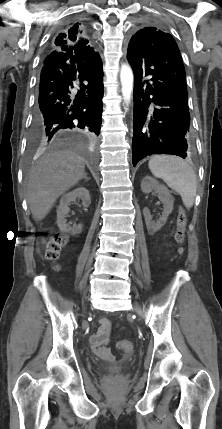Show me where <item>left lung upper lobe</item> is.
<instances>
[{
  "mask_svg": "<svg viewBox=\"0 0 222 429\" xmlns=\"http://www.w3.org/2000/svg\"><path fill=\"white\" fill-rule=\"evenodd\" d=\"M166 33L155 27H145L137 31L131 38L129 46L133 44L145 45L146 42L158 41Z\"/></svg>",
  "mask_w": 222,
  "mask_h": 429,
  "instance_id": "obj_1",
  "label": "left lung upper lobe"
}]
</instances>
